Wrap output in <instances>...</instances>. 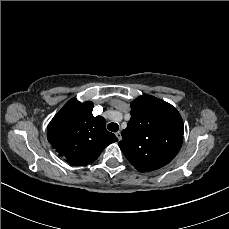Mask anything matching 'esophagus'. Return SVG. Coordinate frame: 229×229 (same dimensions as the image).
Here are the masks:
<instances>
[{
  "mask_svg": "<svg viewBox=\"0 0 229 229\" xmlns=\"http://www.w3.org/2000/svg\"><path fill=\"white\" fill-rule=\"evenodd\" d=\"M115 135L118 138V140H122V135L120 131L116 132Z\"/></svg>",
  "mask_w": 229,
  "mask_h": 229,
  "instance_id": "1",
  "label": "esophagus"
}]
</instances>
